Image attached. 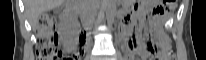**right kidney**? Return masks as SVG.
<instances>
[{
    "mask_svg": "<svg viewBox=\"0 0 206 60\" xmlns=\"http://www.w3.org/2000/svg\"><path fill=\"white\" fill-rule=\"evenodd\" d=\"M61 40L64 44H67L70 42V31L67 28H64V31L61 36Z\"/></svg>",
    "mask_w": 206,
    "mask_h": 60,
    "instance_id": "ca27d5eb",
    "label": "right kidney"
}]
</instances>
